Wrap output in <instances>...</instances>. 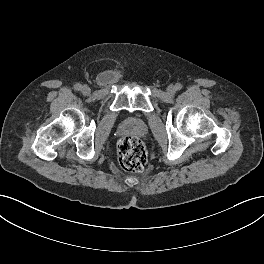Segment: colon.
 Wrapping results in <instances>:
<instances>
[{
  "mask_svg": "<svg viewBox=\"0 0 264 264\" xmlns=\"http://www.w3.org/2000/svg\"><path fill=\"white\" fill-rule=\"evenodd\" d=\"M117 158L120 166L129 172H140L147 162L144 144L135 136H126L117 143Z\"/></svg>",
  "mask_w": 264,
  "mask_h": 264,
  "instance_id": "1",
  "label": "colon"
}]
</instances>
